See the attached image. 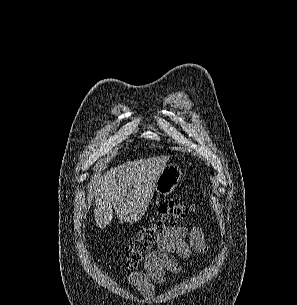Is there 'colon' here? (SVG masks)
<instances>
[{
    "mask_svg": "<svg viewBox=\"0 0 297 305\" xmlns=\"http://www.w3.org/2000/svg\"><path fill=\"white\" fill-rule=\"evenodd\" d=\"M192 210L179 201H171L160 207L157 217L140 228L124 250V265L128 269L135 268L152 252L158 235L165 229L175 226Z\"/></svg>",
    "mask_w": 297,
    "mask_h": 305,
    "instance_id": "obj_1",
    "label": "colon"
}]
</instances>
